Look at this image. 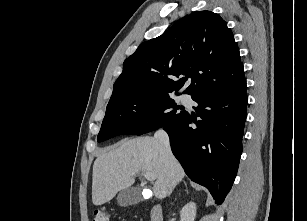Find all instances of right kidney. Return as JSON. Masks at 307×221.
<instances>
[{
  "label": "right kidney",
  "mask_w": 307,
  "mask_h": 221,
  "mask_svg": "<svg viewBox=\"0 0 307 221\" xmlns=\"http://www.w3.org/2000/svg\"><path fill=\"white\" fill-rule=\"evenodd\" d=\"M196 217V204L188 202L180 211L181 221H194Z\"/></svg>",
  "instance_id": "obj_1"
}]
</instances>
